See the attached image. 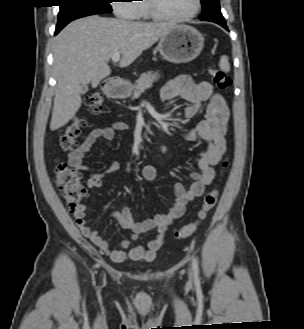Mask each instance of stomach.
I'll return each mask as SVG.
<instances>
[{"label":"stomach","instance_id":"stomach-1","mask_svg":"<svg viewBox=\"0 0 304 329\" xmlns=\"http://www.w3.org/2000/svg\"><path fill=\"white\" fill-rule=\"evenodd\" d=\"M204 47V38L195 28L188 25H175L160 38L158 49L162 57L172 63H186L195 59ZM111 98H127L131 86L125 81H113L103 88Z\"/></svg>","mask_w":304,"mask_h":329}]
</instances>
